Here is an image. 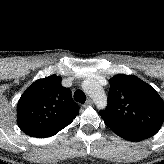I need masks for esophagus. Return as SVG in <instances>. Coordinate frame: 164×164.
<instances>
[{
	"label": "esophagus",
	"instance_id": "esophagus-1",
	"mask_svg": "<svg viewBox=\"0 0 164 164\" xmlns=\"http://www.w3.org/2000/svg\"><path fill=\"white\" fill-rule=\"evenodd\" d=\"M93 104V100L92 99H88L87 102L84 104L85 107L90 106Z\"/></svg>",
	"mask_w": 164,
	"mask_h": 164
}]
</instances>
